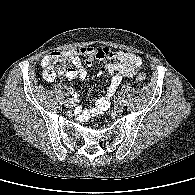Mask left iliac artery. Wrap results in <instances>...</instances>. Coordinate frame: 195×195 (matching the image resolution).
Wrapping results in <instances>:
<instances>
[{
  "label": "left iliac artery",
  "mask_w": 195,
  "mask_h": 195,
  "mask_svg": "<svg viewBox=\"0 0 195 195\" xmlns=\"http://www.w3.org/2000/svg\"><path fill=\"white\" fill-rule=\"evenodd\" d=\"M118 100L121 102V101H122V97H121V96H119V97H118Z\"/></svg>",
  "instance_id": "obj_1"
}]
</instances>
